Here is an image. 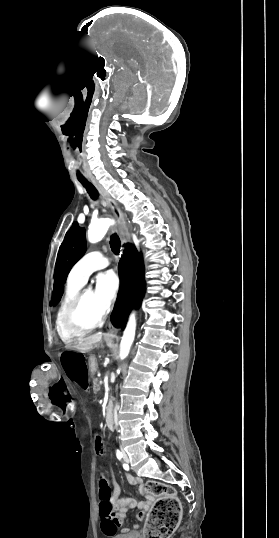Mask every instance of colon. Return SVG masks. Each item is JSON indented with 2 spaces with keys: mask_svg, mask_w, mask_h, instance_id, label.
<instances>
[{
  "mask_svg": "<svg viewBox=\"0 0 279 538\" xmlns=\"http://www.w3.org/2000/svg\"><path fill=\"white\" fill-rule=\"evenodd\" d=\"M96 450L98 453L104 452V444L100 436L96 438ZM98 488L100 514L104 518H111L114 516L111 491L102 474L99 476ZM146 490L156 497V500L144 528V537L168 538L178 527L181 518V504L176 491L173 487L160 482H148Z\"/></svg>",
  "mask_w": 279,
  "mask_h": 538,
  "instance_id": "1",
  "label": "colon"
}]
</instances>
